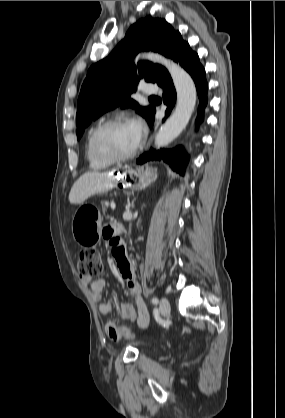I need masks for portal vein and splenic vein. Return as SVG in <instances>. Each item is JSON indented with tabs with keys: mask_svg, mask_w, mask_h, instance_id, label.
<instances>
[{
	"mask_svg": "<svg viewBox=\"0 0 285 418\" xmlns=\"http://www.w3.org/2000/svg\"><path fill=\"white\" fill-rule=\"evenodd\" d=\"M111 208L114 210L116 208V204L114 202H111Z\"/></svg>",
	"mask_w": 285,
	"mask_h": 418,
	"instance_id": "portal-vein-and-splenic-vein-1",
	"label": "portal vein and splenic vein"
}]
</instances>
